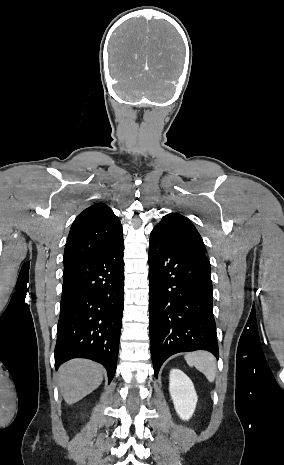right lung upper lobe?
I'll list each match as a JSON object with an SVG mask.
<instances>
[{"instance_id": "obj_1", "label": "right lung upper lobe", "mask_w": 284, "mask_h": 465, "mask_svg": "<svg viewBox=\"0 0 284 465\" xmlns=\"http://www.w3.org/2000/svg\"><path fill=\"white\" fill-rule=\"evenodd\" d=\"M119 218L106 204L96 203L73 222L64 250V269L79 266L105 253L122 238Z\"/></svg>"}]
</instances>
